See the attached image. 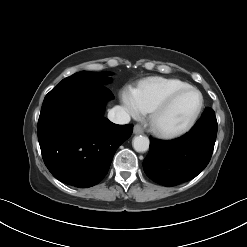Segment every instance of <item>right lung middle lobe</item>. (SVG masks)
<instances>
[{"mask_svg": "<svg viewBox=\"0 0 247 247\" xmlns=\"http://www.w3.org/2000/svg\"><path fill=\"white\" fill-rule=\"evenodd\" d=\"M108 75H111V73L79 72L63 79L56 87L84 83L104 85L110 82V78L107 77Z\"/></svg>", "mask_w": 247, "mask_h": 247, "instance_id": "obj_1", "label": "right lung middle lobe"}]
</instances>
